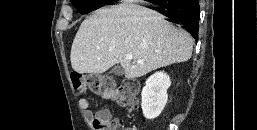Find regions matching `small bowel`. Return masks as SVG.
Listing matches in <instances>:
<instances>
[{
    "label": "small bowel",
    "mask_w": 257,
    "mask_h": 130,
    "mask_svg": "<svg viewBox=\"0 0 257 130\" xmlns=\"http://www.w3.org/2000/svg\"><path fill=\"white\" fill-rule=\"evenodd\" d=\"M106 98H109L107 96H104ZM79 106L85 111L86 113V116L88 118H91L92 117V112L89 110V102L86 98H80L79 99ZM96 116H99L105 120H109L111 119V113L109 110H101L97 113Z\"/></svg>",
    "instance_id": "obj_1"
}]
</instances>
